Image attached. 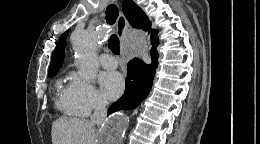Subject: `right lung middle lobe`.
<instances>
[{"mask_svg": "<svg viewBox=\"0 0 260 144\" xmlns=\"http://www.w3.org/2000/svg\"><path fill=\"white\" fill-rule=\"evenodd\" d=\"M57 73H58V71L49 72V77H52V76L56 75Z\"/></svg>", "mask_w": 260, "mask_h": 144, "instance_id": "dd1d6c3e", "label": "right lung middle lobe"}]
</instances>
